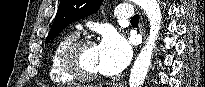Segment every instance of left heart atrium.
I'll return each mask as SVG.
<instances>
[{
	"label": "left heart atrium",
	"instance_id": "obj_1",
	"mask_svg": "<svg viewBox=\"0 0 205 87\" xmlns=\"http://www.w3.org/2000/svg\"><path fill=\"white\" fill-rule=\"evenodd\" d=\"M96 47L100 72L106 75L121 72L132 56L130 42L114 31L107 32Z\"/></svg>",
	"mask_w": 205,
	"mask_h": 87
}]
</instances>
